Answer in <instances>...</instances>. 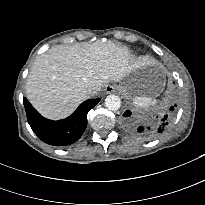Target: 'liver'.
Segmentation results:
<instances>
[{
	"label": "liver",
	"mask_w": 205,
	"mask_h": 205,
	"mask_svg": "<svg viewBox=\"0 0 205 205\" xmlns=\"http://www.w3.org/2000/svg\"><path fill=\"white\" fill-rule=\"evenodd\" d=\"M137 66L128 64V50L117 42L57 45L34 61L25 87L27 98L44 117L63 119L103 84L120 82Z\"/></svg>",
	"instance_id": "obj_1"
}]
</instances>
